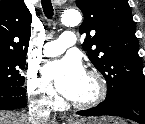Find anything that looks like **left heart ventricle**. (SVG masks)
Masks as SVG:
<instances>
[{
	"instance_id": "obj_1",
	"label": "left heart ventricle",
	"mask_w": 145,
	"mask_h": 124,
	"mask_svg": "<svg viewBox=\"0 0 145 124\" xmlns=\"http://www.w3.org/2000/svg\"><path fill=\"white\" fill-rule=\"evenodd\" d=\"M96 92H97V84L95 80L86 75L76 96L71 100L74 102H84L92 99L95 96Z\"/></svg>"
}]
</instances>
